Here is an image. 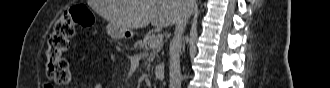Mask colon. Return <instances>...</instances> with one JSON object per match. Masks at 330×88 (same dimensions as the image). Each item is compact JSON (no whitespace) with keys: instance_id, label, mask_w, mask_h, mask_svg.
<instances>
[{"instance_id":"colon-1","label":"colon","mask_w":330,"mask_h":88,"mask_svg":"<svg viewBox=\"0 0 330 88\" xmlns=\"http://www.w3.org/2000/svg\"><path fill=\"white\" fill-rule=\"evenodd\" d=\"M94 22L92 12L83 4H76L64 11L54 24L48 37L46 50V75L57 84L68 85L73 73L64 53L69 48V39L75 26L87 29Z\"/></svg>"}]
</instances>
